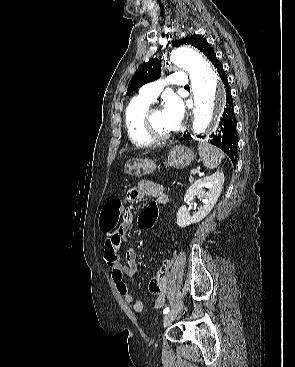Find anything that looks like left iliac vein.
<instances>
[{
	"mask_svg": "<svg viewBox=\"0 0 295 367\" xmlns=\"http://www.w3.org/2000/svg\"><path fill=\"white\" fill-rule=\"evenodd\" d=\"M182 305V300L180 299L177 304L165 315L163 323L164 326H168L173 320L174 318L177 316L180 308Z\"/></svg>",
	"mask_w": 295,
	"mask_h": 367,
	"instance_id": "obj_1",
	"label": "left iliac vein"
}]
</instances>
